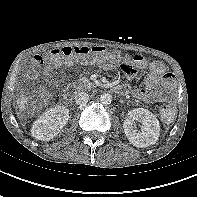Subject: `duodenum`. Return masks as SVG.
Segmentation results:
<instances>
[{
	"instance_id": "1",
	"label": "duodenum",
	"mask_w": 197,
	"mask_h": 197,
	"mask_svg": "<svg viewBox=\"0 0 197 197\" xmlns=\"http://www.w3.org/2000/svg\"><path fill=\"white\" fill-rule=\"evenodd\" d=\"M113 90L118 93V94H121V95H125L128 93V89L126 86H116L113 88Z\"/></svg>"
}]
</instances>
